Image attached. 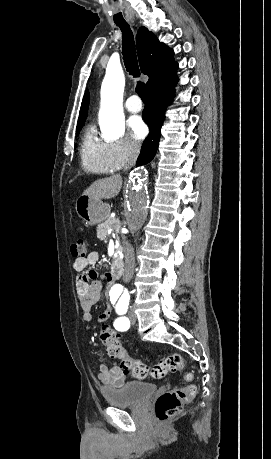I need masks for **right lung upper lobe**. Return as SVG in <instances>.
Instances as JSON below:
<instances>
[{
    "mask_svg": "<svg viewBox=\"0 0 271 459\" xmlns=\"http://www.w3.org/2000/svg\"><path fill=\"white\" fill-rule=\"evenodd\" d=\"M137 50L141 71L149 76L147 89L165 77L176 73L178 64L173 59V50L160 43L154 33L140 27L137 36ZM89 93L86 91L78 121L85 120L88 112Z\"/></svg>",
    "mask_w": 271,
    "mask_h": 459,
    "instance_id": "cb5924a9",
    "label": "right lung upper lobe"
}]
</instances>
